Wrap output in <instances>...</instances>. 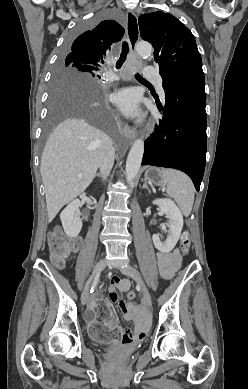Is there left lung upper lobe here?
<instances>
[{
	"instance_id": "obj_1",
	"label": "left lung upper lobe",
	"mask_w": 248,
	"mask_h": 389,
	"mask_svg": "<svg viewBox=\"0 0 248 389\" xmlns=\"http://www.w3.org/2000/svg\"><path fill=\"white\" fill-rule=\"evenodd\" d=\"M141 37L154 48L163 88L178 79L202 75V60L193 34L169 13L156 11L139 17Z\"/></svg>"
}]
</instances>
